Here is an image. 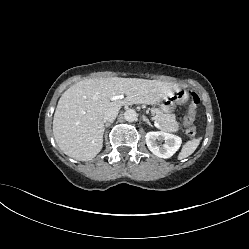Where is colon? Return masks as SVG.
Wrapping results in <instances>:
<instances>
[{
  "label": "colon",
  "mask_w": 249,
  "mask_h": 249,
  "mask_svg": "<svg viewBox=\"0 0 249 249\" xmlns=\"http://www.w3.org/2000/svg\"><path fill=\"white\" fill-rule=\"evenodd\" d=\"M200 102L199 96L192 92L191 93V105L188 113L184 117V126L186 127V132L189 137H193L196 132V128L194 126V121L196 117L197 106Z\"/></svg>",
  "instance_id": "1"
}]
</instances>
